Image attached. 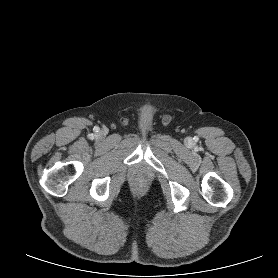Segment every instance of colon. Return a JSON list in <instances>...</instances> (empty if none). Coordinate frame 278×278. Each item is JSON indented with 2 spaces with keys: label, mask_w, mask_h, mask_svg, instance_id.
Returning <instances> with one entry per match:
<instances>
[{
  "label": "colon",
  "mask_w": 278,
  "mask_h": 278,
  "mask_svg": "<svg viewBox=\"0 0 278 278\" xmlns=\"http://www.w3.org/2000/svg\"><path fill=\"white\" fill-rule=\"evenodd\" d=\"M138 184H139L140 186H142V185L144 184V181H143V180H139V181H138Z\"/></svg>",
  "instance_id": "obj_1"
}]
</instances>
